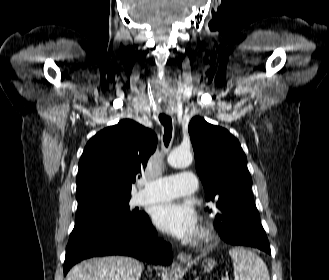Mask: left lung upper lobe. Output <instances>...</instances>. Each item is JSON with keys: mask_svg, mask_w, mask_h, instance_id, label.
I'll return each instance as SVG.
<instances>
[{"mask_svg": "<svg viewBox=\"0 0 329 280\" xmlns=\"http://www.w3.org/2000/svg\"><path fill=\"white\" fill-rule=\"evenodd\" d=\"M189 134L195 152L196 170L205 189L206 201L215 203V226L251 199L252 179L239 141L226 129L194 117Z\"/></svg>", "mask_w": 329, "mask_h": 280, "instance_id": "obj_1", "label": "left lung upper lobe"}]
</instances>
